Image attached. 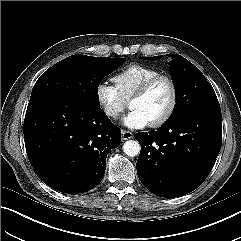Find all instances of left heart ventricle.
I'll return each mask as SVG.
<instances>
[{
	"label": "left heart ventricle",
	"instance_id": "left-heart-ventricle-1",
	"mask_svg": "<svg viewBox=\"0 0 241 241\" xmlns=\"http://www.w3.org/2000/svg\"><path fill=\"white\" fill-rule=\"evenodd\" d=\"M170 101V85L166 81H160L145 96L130 101L129 106L140 112L150 123L164 114Z\"/></svg>",
	"mask_w": 241,
	"mask_h": 241
}]
</instances>
